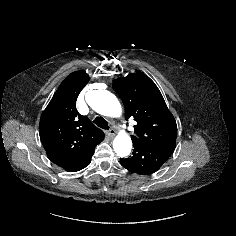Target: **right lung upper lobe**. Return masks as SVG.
Instances as JSON below:
<instances>
[{"instance_id":"1","label":"right lung upper lobe","mask_w":236,"mask_h":236,"mask_svg":"<svg viewBox=\"0 0 236 236\" xmlns=\"http://www.w3.org/2000/svg\"><path fill=\"white\" fill-rule=\"evenodd\" d=\"M88 82L85 72L71 73L41 115L40 139L48 158L56 165L79 157L104 139L103 131L76 109L77 97Z\"/></svg>"}]
</instances>
